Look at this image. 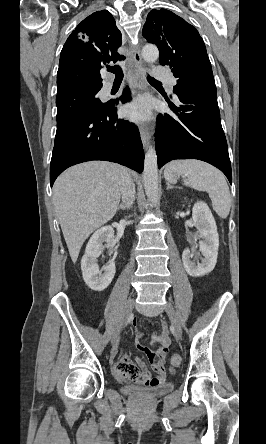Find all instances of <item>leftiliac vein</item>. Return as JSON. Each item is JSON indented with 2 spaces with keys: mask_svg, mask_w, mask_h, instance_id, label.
Segmentation results:
<instances>
[{
  "mask_svg": "<svg viewBox=\"0 0 266 444\" xmlns=\"http://www.w3.org/2000/svg\"><path fill=\"white\" fill-rule=\"evenodd\" d=\"M166 312L171 320L172 328H173V332H174L175 336L177 338H181L182 328H181V325L179 322V318L177 316V313H176L174 307L172 306V304L170 302H168L166 305Z\"/></svg>",
  "mask_w": 266,
  "mask_h": 444,
  "instance_id": "left-iliac-vein-1",
  "label": "left iliac vein"
}]
</instances>
